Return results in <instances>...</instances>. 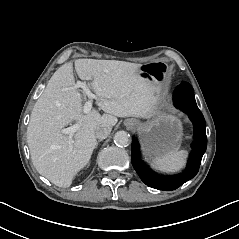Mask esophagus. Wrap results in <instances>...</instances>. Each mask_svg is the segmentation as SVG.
<instances>
[{
	"label": "esophagus",
	"mask_w": 239,
	"mask_h": 239,
	"mask_svg": "<svg viewBox=\"0 0 239 239\" xmlns=\"http://www.w3.org/2000/svg\"><path fill=\"white\" fill-rule=\"evenodd\" d=\"M137 123H138V121L135 120V123L133 124V126H134V127L137 126Z\"/></svg>",
	"instance_id": "obj_1"
}]
</instances>
